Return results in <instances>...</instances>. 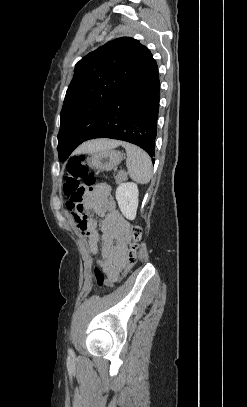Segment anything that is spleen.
Returning <instances> with one entry per match:
<instances>
[{"instance_id":"1","label":"spleen","mask_w":247,"mask_h":407,"mask_svg":"<svg viewBox=\"0 0 247 407\" xmlns=\"http://www.w3.org/2000/svg\"><path fill=\"white\" fill-rule=\"evenodd\" d=\"M127 153L126 166L130 178L137 183L147 184L152 177V162L149 155L136 145L122 142Z\"/></svg>"}]
</instances>
